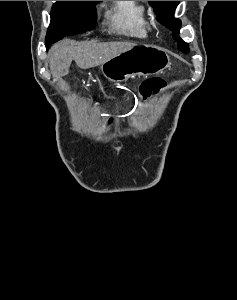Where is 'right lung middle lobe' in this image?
<instances>
[{"label": "right lung middle lobe", "mask_w": 237, "mask_h": 300, "mask_svg": "<svg viewBox=\"0 0 237 300\" xmlns=\"http://www.w3.org/2000/svg\"><path fill=\"white\" fill-rule=\"evenodd\" d=\"M100 1H56L51 10V23L46 47L67 35L84 33L95 27V4Z\"/></svg>", "instance_id": "right-lung-middle-lobe-1"}]
</instances>
